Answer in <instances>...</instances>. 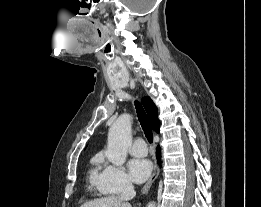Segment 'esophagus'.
Instances as JSON below:
<instances>
[{"label": "esophagus", "mask_w": 261, "mask_h": 207, "mask_svg": "<svg viewBox=\"0 0 261 207\" xmlns=\"http://www.w3.org/2000/svg\"><path fill=\"white\" fill-rule=\"evenodd\" d=\"M159 174V165H157L154 169V172L152 174V176L150 177V179L148 180V182L144 185V187L142 188L141 192L142 194H145L149 191L152 183L155 181V179L157 178Z\"/></svg>", "instance_id": "esophagus-1"}]
</instances>
